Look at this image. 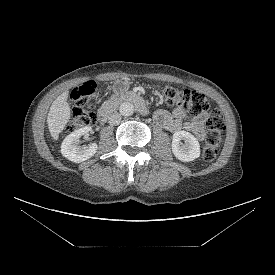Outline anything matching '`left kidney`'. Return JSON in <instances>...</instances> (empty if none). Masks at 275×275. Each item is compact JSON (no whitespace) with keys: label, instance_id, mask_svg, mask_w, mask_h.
I'll list each match as a JSON object with an SVG mask.
<instances>
[{"label":"left kidney","instance_id":"5707ae66","mask_svg":"<svg viewBox=\"0 0 275 275\" xmlns=\"http://www.w3.org/2000/svg\"><path fill=\"white\" fill-rule=\"evenodd\" d=\"M181 140H185V144ZM172 152L179 160L189 162L200 156V145L191 133L177 131L172 138Z\"/></svg>","mask_w":275,"mask_h":275}]
</instances>
